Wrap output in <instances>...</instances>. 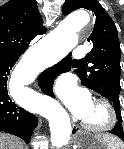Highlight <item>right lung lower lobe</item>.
<instances>
[{"mask_svg":"<svg viewBox=\"0 0 124 149\" xmlns=\"http://www.w3.org/2000/svg\"><path fill=\"white\" fill-rule=\"evenodd\" d=\"M20 55L0 57V132L15 135L29 143L37 119L12 102L7 91L8 75Z\"/></svg>","mask_w":124,"mask_h":149,"instance_id":"obj_1","label":"right lung lower lobe"}]
</instances>
